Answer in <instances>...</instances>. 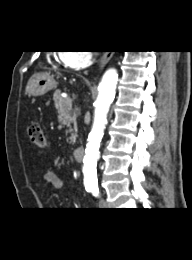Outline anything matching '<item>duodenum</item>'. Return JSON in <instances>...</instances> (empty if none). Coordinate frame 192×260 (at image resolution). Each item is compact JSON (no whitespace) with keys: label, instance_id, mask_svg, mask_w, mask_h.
I'll list each match as a JSON object with an SVG mask.
<instances>
[{"label":"duodenum","instance_id":"410a0bca","mask_svg":"<svg viewBox=\"0 0 192 260\" xmlns=\"http://www.w3.org/2000/svg\"><path fill=\"white\" fill-rule=\"evenodd\" d=\"M84 156V148L82 146H78L73 150V157L76 161H82Z\"/></svg>","mask_w":192,"mask_h":260}]
</instances>
